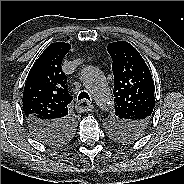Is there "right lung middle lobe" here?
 Masks as SVG:
<instances>
[{"instance_id": "dd1d6c3e", "label": "right lung middle lobe", "mask_w": 184, "mask_h": 184, "mask_svg": "<svg viewBox=\"0 0 184 184\" xmlns=\"http://www.w3.org/2000/svg\"><path fill=\"white\" fill-rule=\"evenodd\" d=\"M74 127H75V126H74ZM74 127L71 128V130H70L65 136H63V138L59 139V142L54 143L53 146H55V145H60V144L65 143V142L71 137V135H72V133H73V131H74Z\"/></svg>"}]
</instances>
